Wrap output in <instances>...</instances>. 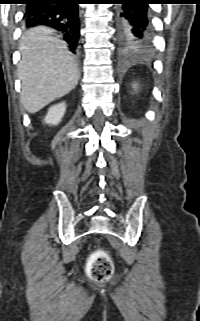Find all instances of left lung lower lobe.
Here are the masks:
<instances>
[{
    "label": "left lung lower lobe",
    "instance_id": "left-lung-lower-lobe-1",
    "mask_svg": "<svg viewBox=\"0 0 200 321\" xmlns=\"http://www.w3.org/2000/svg\"><path fill=\"white\" fill-rule=\"evenodd\" d=\"M155 0H118L117 35L121 50L129 54H145L152 48V31L148 4Z\"/></svg>",
    "mask_w": 200,
    "mask_h": 321
}]
</instances>
